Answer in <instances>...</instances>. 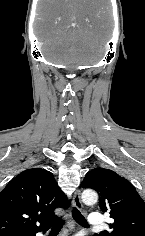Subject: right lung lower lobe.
I'll use <instances>...</instances> for the list:
<instances>
[{
  "label": "right lung lower lobe",
  "mask_w": 145,
  "mask_h": 236,
  "mask_svg": "<svg viewBox=\"0 0 145 236\" xmlns=\"http://www.w3.org/2000/svg\"><path fill=\"white\" fill-rule=\"evenodd\" d=\"M47 230V229H46ZM43 231H45V230H43ZM31 236H35V234H33V235H31Z\"/></svg>",
  "instance_id": "1"
}]
</instances>
